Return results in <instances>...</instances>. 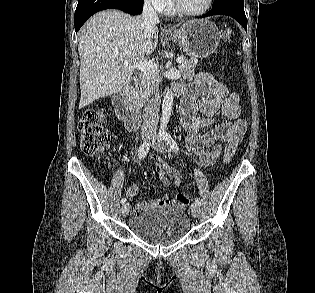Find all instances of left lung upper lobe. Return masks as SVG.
Segmentation results:
<instances>
[{"label": "left lung upper lobe", "mask_w": 315, "mask_h": 293, "mask_svg": "<svg viewBox=\"0 0 315 293\" xmlns=\"http://www.w3.org/2000/svg\"><path fill=\"white\" fill-rule=\"evenodd\" d=\"M229 4L244 6V0H214L212 9Z\"/></svg>", "instance_id": "obj_1"}]
</instances>
